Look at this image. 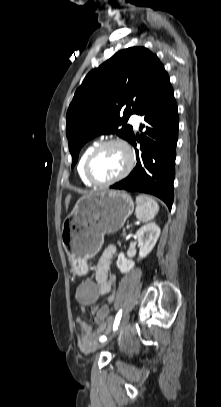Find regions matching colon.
Instances as JSON below:
<instances>
[{"mask_svg":"<svg viewBox=\"0 0 221 407\" xmlns=\"http://www.w3.org/2000/svg\"><path fill=\"white\" fill-rule=\"evenodd\" d=\"M100 284L95 277H83L82 283H75L74 298L78 306H96L100 300ZM110 316V307L102 305L98 313H95L97 320L106 321Z\"/></svg>","mask_w":221,"mask_h":407,"instance_id":"5ec220e1","label":"colon"}]
</instances>
